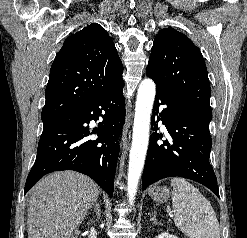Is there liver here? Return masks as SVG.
Masks as SVG:
<instances>
[{
  "label": "liver",
  "mask_w": 247,
  "mask_h": 238,
  "mask_svg": "<svg viewBox=\"0 0 247 238\" xmlns=\"http://www.w3.org/2000/svg\"><path fill=\"white\" fill-rule=\"evenodd\" d=\"M99 196L96 183L74 171L54 172L31 190L28 238H73Z\"/></svg>",
  "instance_id": "liver-1"
}]
</instances>
